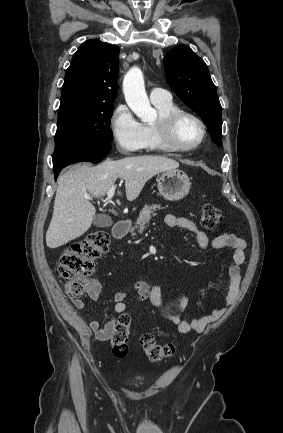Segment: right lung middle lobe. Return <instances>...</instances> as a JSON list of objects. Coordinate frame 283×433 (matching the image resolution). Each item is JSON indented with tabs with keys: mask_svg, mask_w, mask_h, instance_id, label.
Segmentation results:
<instances>
[{
	"mask_svg": "<svg viewBox=\"0 0 283 433\" xmlns=\"http://www.w3.org/2000/svg\"><path fill=\"white\" fill-rule=\"evenodd\" d=\"M113 102L77 104L58 110L55 143L71 141L95 146L111 145Z\"/></svg>",
	"mask_w": 283,
	"mask_h": 433,
	"instance_id": "1",
	"label": "right lung middle lobe"
}]
</instances>
